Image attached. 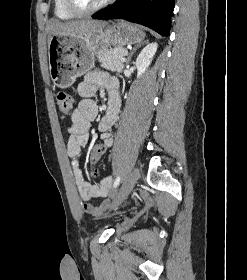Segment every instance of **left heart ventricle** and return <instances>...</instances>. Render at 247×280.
Returning <instances> with one entry per match:
<instances>
[{
	"label": "left heart ventricle",
	"instance_id": "b2bd125f",
	"mask_svg": "<svg viewBox=\"0 0 247 280\" xmlns=\"http://www.w3.org/2000/svg\"><path fill=\"white\" fill-rule=\"evenodd\" d=\"M76 3L83 8H91L100 4L104 0H75Z\"/></svg>",
	"mask_w": 247,
	"mask_h": 280
}]
</instances>
